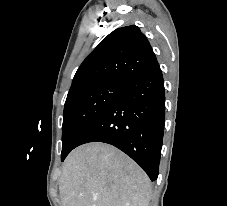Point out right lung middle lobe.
Returning a JSON list of instances; mask_svg holds the SVG:
<instances>
[{"instance_id":"1","label":"right lung middle lobe","mask_w":227,"mask_h":206,"mask_svg":"<svg viewBox=\"0 0 227 206\" xmlns=\"http://www.w3.org/2000/svg\"><path fill=\"white\" fill-rule=\"evenodd\" d=\"M125 81L106 80L79 89L67 96L62 126L63 161L82 134L124 91Z\"/></svg>"}]
</instances>
